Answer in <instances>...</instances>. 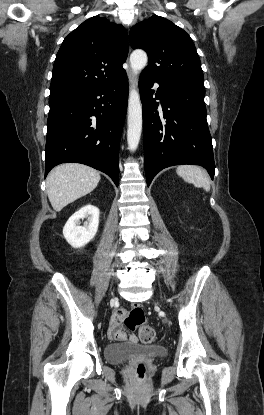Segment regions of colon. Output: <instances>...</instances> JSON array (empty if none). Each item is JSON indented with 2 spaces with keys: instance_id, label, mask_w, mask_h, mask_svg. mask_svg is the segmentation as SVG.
Here are the masks:
<instances>
[{
  "instance_id": "5ec220e1",
  "label": "colon",
  "mask_w": 264,
  "mask_h": 415,
  "mask_svg": "<svg viewBox=\"0 0 264 415\" xmlns=\"http://www.w3.org/2000/svg\"><path fill=\"white\" fill-rule=\"evenodd\" d=\"M145 319L144 309L140 305L134 306L128 317L125 319V325L129 329H136L139 327V338L142 343L150 344L154 342L156 338V331L152 326L143 325ZM146 373V364L144 362H139L136 366V376L139 379H142Z\"/></svg>"
}]
</instances>
